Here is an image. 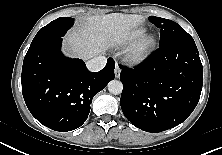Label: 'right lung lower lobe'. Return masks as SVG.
Segmentation results:
<instances>
[{"mask_svg":"<svg viewBox=\"0 0 222 155\" xmlns=\"http://www.w3.org/2000/svg\"><path fill=\"white\" fill-rule=\"evenodd\" d=\"M61 37L28 51L22 67V93L31 114L55 131H71L88 118L93 97L114 79L111 59L99 72H90L79 59L60 51Z\"/></svg>","mask_w":222,"mask_h":155,"instance_id":"98d812e1","label":"right lung lower lobe"}]
</instances>
